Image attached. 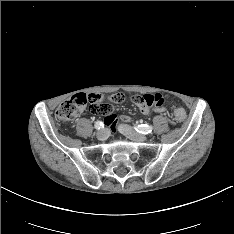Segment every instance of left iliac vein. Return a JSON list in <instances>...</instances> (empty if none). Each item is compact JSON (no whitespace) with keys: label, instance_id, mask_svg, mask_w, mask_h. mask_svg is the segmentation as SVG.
I'll use <instances>...</instances> for the list:
<instances>
[{"label":"left iliac vein","instance_id":"obj_1","mask_svg":"<svg viewBox=\"0 0 234 234\" xmlns=\"http://www.w3.org/2000/svg\"><path fill=\"white\" fill-rule=\"evenodd\" d=\"M119 131L128 137L129 139L136 141V142H144L148 139L147 136L140 134L139 132L135 131L131 126L121 124L119 125Z\"/></svg>","mask_w":234,"mask_h":234}]
</instances>
